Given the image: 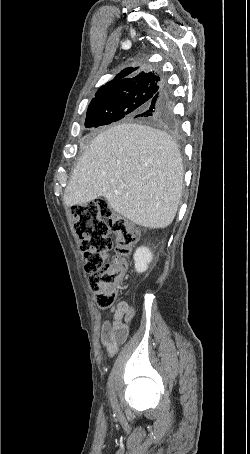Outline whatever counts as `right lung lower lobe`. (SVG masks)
<instances>
[{
	"label": "right lung lower lobe",
	"mask_w": 250,
	"mask_h": 454,
	"mask_svg": "<svg viewBox=\"0 0 250 454\" xmlns=\"http://www.w3.org/2000/svg\"><path fill=\"white\" fill-rule=\"evenodd\" d=\"M173 96L166 86L154 96L149 108L143 113L145 116H154L169 124L173 122Z\"/></svg>",
	"instance_id": "obj_1"
}]
</instances>
